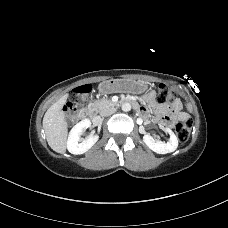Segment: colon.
Instances as JSON below:
<instances>
[{"instance_id": "1", "label": "colon", "mask_w": 228, "mask_h": 228, "mask_svg": "<svg viewBox=\"0 0 228 228\" xmlns=\"http://www.w3.org/2000/svg\"><path fill=\"white\" fill-rule=\"evenodd\" d=\"M91 92V86L88 84L76 87L73 90L74 99L66 103L64 110L71 116L79 110L81 103L87 99V96ZM176 94L167 88L165 85L160 84L157 88L156 98L161 104L172 103L176 100ZM76 99H80L78 102ZM192 122L190 120H182L176 124V132L178 139L181 142H186L190 136Z\"/></svg>"}]
</instances>
